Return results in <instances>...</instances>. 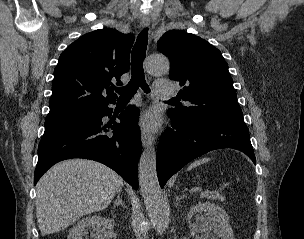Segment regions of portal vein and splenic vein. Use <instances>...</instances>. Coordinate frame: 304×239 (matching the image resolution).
I'll return each instance as SVG.
<instances>
[{"instance_id":"obj_1","label":"portal vein and splenic vein","mask_w":304,"mask_h":239,"mask_svg":"<svg viewBox=\"0 0 304 239\" xmlns=\"http://www.w3.org/2000/svg\"><path fill=\"white\" fill-rule=\"evenodd\" d=\"M209 194H210L209 191H205L201 193L202 196H208Z\"/></svg>"}]
</instances>
